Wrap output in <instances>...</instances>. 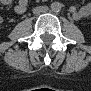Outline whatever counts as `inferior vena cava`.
Listing matches in <instances>:
<instances>
[{
  "mask_svg": "<svg viewBox=\"0 0 91 91\" xmlns=\"http://www.w3.org/2000/svg\"><path fill=\"white\" fill-rule=\"evenodd\" d=\"M48 10L47 6H39L33 9V13L34 14H40V13H44Z\"/></svg>",
  "mask_w": 91,
  "mask_h": 91,
  "instance_id": "1",
  "label": "inferior vena cava"
}]
</instances>
